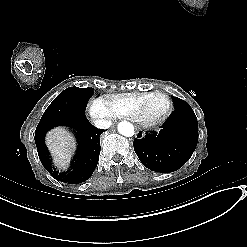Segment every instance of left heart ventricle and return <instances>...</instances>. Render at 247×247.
I'll list each match as a JSON object with an SVG mask.
<instances>
[{
  "mask_svg": "<svg viewBox=\"0 0 247 247\" xmlns=\"http://www.w3.org/2000/svg\"><path fill=\"white\" fill-rule=\"evenodd\" d=\"M162 103H163V99L162 98H156L152 102L151 107H152L153 110H156L161 106Z\"/></svg>",
  "mask_w": 247,
  "mask_h": 247,
  "instance_id": "left-heart-ventricle-1",
  "label": "left heart ventricle"
}]
</instances>
